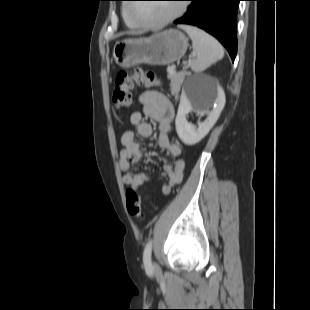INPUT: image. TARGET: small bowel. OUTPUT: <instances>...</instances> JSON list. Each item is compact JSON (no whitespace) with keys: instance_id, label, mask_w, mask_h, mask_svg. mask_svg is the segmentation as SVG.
I'll return each mask as SVG.
<instances>
[{"instance_id":"1","label":"small bowel","mask_w":310,"mask_h":310,"mask_svg":"<svg viewBox=\"0 0 310 310\" xmlns=\"http://www.w3.org/2000/svg\"><path fill=\"white\" fill-rule=\"evenodd\" d=\"M139 101L142 105V111L133 112L130 116L131 124L135 127L136 133L143 138H149L153 133V126L145 118L156 122L159 129V147L175 158L173 164H164L163 166V175L166 176V180L161 191L164 195H170L185 177V163L181 158L182 148L178 143L171 141L169 137L175 114L174 107L165 95L156 90L144 91L140 95ZM120 142L122 148L119 166L124 172L122 181L125 185L139 191L143 185L150 181V176L146 173H134L131 171V167L142 161L143 150L133 131L124 132Z\"/></svg>"}]
</instances>
